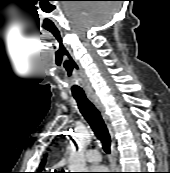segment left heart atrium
I'll use <instances>...</instances> for the list:
<instances>
[{
  "mask_svg": "<svg viewBox=\"0 0 170 173\" xmlns=\"http://www.w3.org/2000/svg\"><path fill=\"white\" fill-rule=\"evenodd\" d=\"M90 172L91 173H105L106 172V167L104 166H93V167H90Z\"/></svg>",
  "mask_w": 170,
  "mask_h": 173,
  "instance_id": "39dd6f15",
  "label": "left heart atrium"
}]
</instances>
